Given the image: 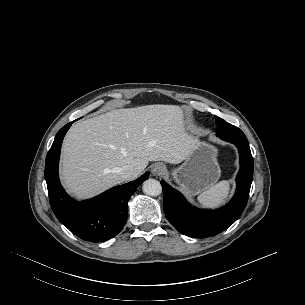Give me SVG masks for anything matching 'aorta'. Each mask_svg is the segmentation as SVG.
Listing matches in <instances>:
<instances>
[{
  "mask_svg": "<svg viewBox=\"0 0 305 305\" xmlns=\"http://www.w3.org/2000/svg\"><path fill=\"white\" fill-rule=\"evenodd\" d=\"M143 192L150 196H158L162 193V186L159 181L149 178L142 185Z\"/></svg>",
  "mask_w": 305,
  "mask_h": 305,
  "instance_id": "1",
  "label": "aorta"
}]
</instances>
